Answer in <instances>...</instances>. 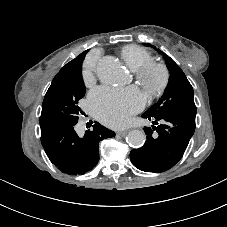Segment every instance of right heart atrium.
I'll return each mask as SVG.
<instances>
[{
	"label": "right heart atrium",
	"instance_id": "right-heart-atrium-1",
	"mask_svg": "<svg viewBox=\"0 0 227 227\" xmlns=\"http://www.w3.org/2000/svg\"><path fill=\"white\" fill-rule=\"evenodd\" d=\"M98 60V52H92L86 57L82 71V78L85 83H88L92 80Z\"/></svg>",
	"mask_w": 227,
	"mask_h": 227
}]
</instances>
